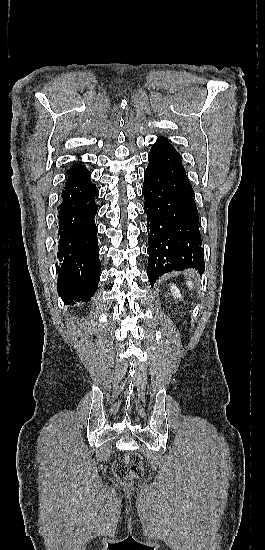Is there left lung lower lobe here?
<instances>
[{
    "instance_id": "left-lung-lower-lobe-1",
    "label": "left lung lower lobe",
    "mask_w": 265,
    "mask_h": 550,
    "mask_svg": "<svg viewBox=\"0 0 265 550\" xmlns=\"http://www.w3.org/2000/svg\"><path fill=\"white\" fill-rule=\"evenodd\" d=\"M144 172V210L149 233L148 278L153 285L164 273L204 270L199 215L180 154L157 141Z\"/></svg>"
}]
</instances>
